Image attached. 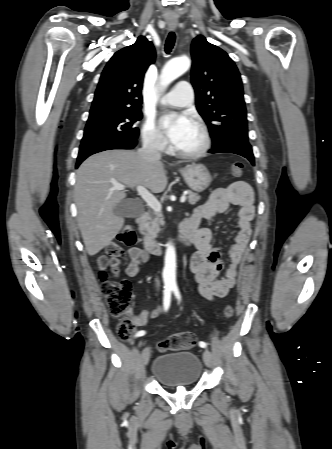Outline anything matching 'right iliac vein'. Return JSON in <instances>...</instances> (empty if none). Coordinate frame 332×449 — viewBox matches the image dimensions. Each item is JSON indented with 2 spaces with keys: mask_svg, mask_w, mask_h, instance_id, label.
I'll return each instance as SVG.
<instances>
[{
  "mask_svg": "<svg viewBox=\"0 0 332 449\" xmlns=\"http://www.w3.org/2000/svg\"><path fill=\"white\" fill-rule=\"evenodd\" d=\"M150 359V349L148 347L144 348L141 354L142 364L145 366L148 364Z\"/></svg>",
  "mask_w": 332,
  "mask_h": 449,
  "instance_id": "right-iliac-vein-1",
  "label": "right iliac vein"
}]
</instances>
